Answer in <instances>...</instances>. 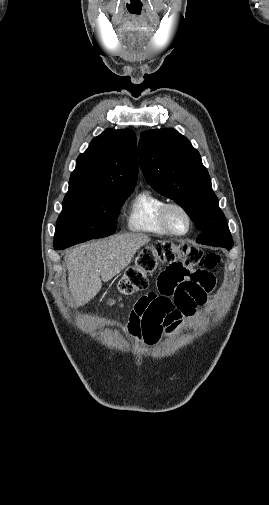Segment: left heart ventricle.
<instances>
[{
	"label": "left heart ventricle",
	"instance_id": "1",
	"mask_svg": "<svg viewBox=\"0 0 269 505\" xmlns=\"http://www.w3.org/2000/svg\"><path fill=\"white\" fill-rule=\"evenodd\" d=\"M167 219L171 228L176 232L182 233L188 229L187 217L177 208H172L168 211Z\"/></svg>",
	"mask_w": 269,
	"mask_h": 505
}]
</instances>
